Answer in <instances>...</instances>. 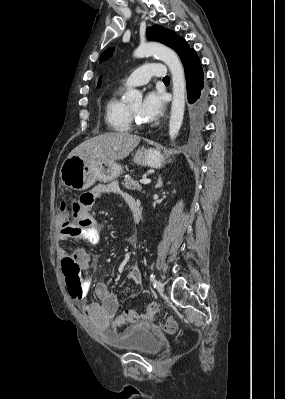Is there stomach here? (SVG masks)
I'll return each mask as SVG.
<instances>
[{
    "mask_svg": "<svg viewBox=\"0 0 285 399\" xmlns=\"http://www.w3.org/2000/svg\"><path fill=\"white\" fill-rule=\"evenodd\" d=\"M163 155L154 148L138 151L135 161L150 167H161ZM123 172V167L115 161L90 162L79 156L67 157L60 168L61 183L73 190L81 191L91 187L96 181H111Z\"/></svg>",
    "mask_w": 285,
    "mask_h": 399,
    "instance_id": "obj_1",
    "label": "stomach"
}]
</instances>
